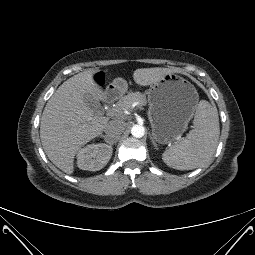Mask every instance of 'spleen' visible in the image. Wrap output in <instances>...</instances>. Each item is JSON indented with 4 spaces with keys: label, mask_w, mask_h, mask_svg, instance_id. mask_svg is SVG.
I'll use <instances>...</instances> for the list:
<instances>
[{
    "label": "spleen",
    "mask_w": 255,
    "mask_h": 255,
    "mask_svg": "<svg viewBox=\"0 0 255 255\" xmlns=\"http://www.w3.org/2000/svg\"><path fill=\"white\" fill-rule=\"evenodd\" d=\"M220 135L216 106L201 100L197 106L193 129L186 138L166 150L162 159L177 170H192L208 164L218 145Z\"/></svg>",
    "instance_id": "3e777b00"
}]
</instances>
